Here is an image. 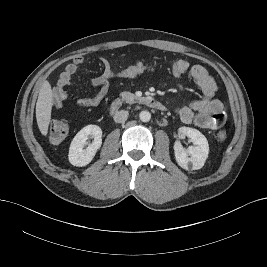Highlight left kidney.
<instances>
[{"label":"left kidney","mask_w":267,"mask_h":267,"mask_svg":"<svg viewBox=\"0 0 267 267\" xmlns=\"http://www.w3.org/2000/svg\"><path fill=\"white\" fill-rule=\"evenodd\" d=\"M179 133L190 138L193 146L185 149L180 142H175L174 152L178 165L185 170L201 169L209 153V145L206 137L197 129L189 127L179 128Z\"/></svg>","instance_id":"obj_1"}]
</instances>
